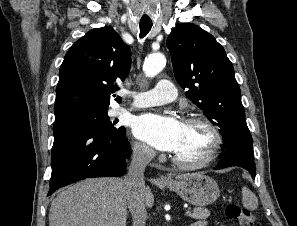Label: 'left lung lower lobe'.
<instances>
[{
  "instance_id": "0a47b994",
  "label": "left lung lower lobe",
  "mask_w": 297,
  "mask_h": 226,
  "mask_svg": "<svg viewBox=\"0 0 297 226\" xmlns=\"http://www.w3.org/2000/svg\"><path fill=\"white\" fill-rule=\"evenodd\" d=\"M231 166H238L248 170L254 179L256 167L253 147L247 149H224L221 155V160L214 169Z\"/></svg>"
}]
</instances>
